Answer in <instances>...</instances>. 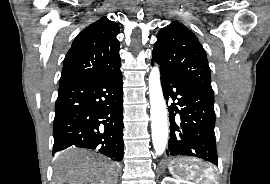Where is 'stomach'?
I'll return each instance as SVG.
<instances>
[{
	"label": "stomach",
	"mask_w": 270,
	"mask_h": 184,
	"mask_svg": "<svg viewBox=\"0 0 270 184\" xmlns=\"http://www.w3.org/2000/svg\"><path fill=\"white\" fill-rule=\"evenodd\" d=\"M186 161L183 159L174 160L169 164V171L174 176H182L186 170Z\"/></svg>",
	"instance_id": "1"
}]
</instances>
